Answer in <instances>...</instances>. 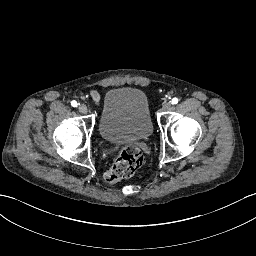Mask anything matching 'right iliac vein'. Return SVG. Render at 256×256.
I'll use <instances>...</instances> for the list:
<instances>
[{
	"mask_svg": "<svg viewBox=\"0 0 256 256\" xmlns=\"http://www.w3.org/2000/svg\"><path fill=\"white\" fill-rule=\"evenodd\" d=\"M79 111L82 113V114H86L88 112V109H87V106L85 104H81L79 106Z\"/></svg>",
	"mask_w": 256,
	"mask_h": 256,
	"instance_id": "obj_1",
	"label": "right iliac vein"
}]
</instances>
